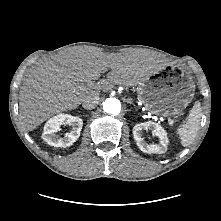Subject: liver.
Listing matches in <instances>:
<instances>
[{"label":"liver","instance_id":"liver-1","mask_svg":"<svg viewBox=\"0 0 221 221\" xmlns=\"http://www.w3.org/2000/svg\"><path fill=\"white\" fill-rule=\"evenodd\" d=\"M110 69L107 79L98 80ZM159 68L142 53H105L81 48L64 51L37 63L20 88V119L28 130L48 118L77 108L83 100L114 85L139 84Z\"/></svg>","mask_w":221,"mask_h":221}]
</instances>
